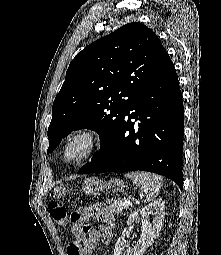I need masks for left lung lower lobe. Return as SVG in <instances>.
<instances>
[{
	"label": "left lung lower lobe",
	"instance_id": "left-lung-lower-lobe-1",
	"mask_svg": "<svg viewBox=\"0 0 221 255\" xmlns=\"http://www.w3.org/2000/svg\"><path fill=\"white\" fill-rule=\"evenodd\" d=\"M183 112L178 76L166 53L105 146L78 174L149 171L173 180L182 190Z\"/></svg>",
	"mask_w": 221,
	"mask_h": 255
}]
</instances>
